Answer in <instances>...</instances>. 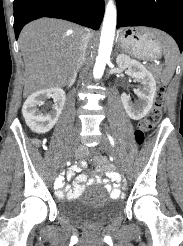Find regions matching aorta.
<instances>
[{
  "label": "aorta",
  "instance_id": "obj_1",
  "mask_svg": "<svg viewBox=\"0 0 183 246\" xmlns=\"http://www.w3.org/2000/svg\"><path fill=\"white\" fill-rule=\"evenodd\" d=\"M116 18V7L113 0H109L103 19L98 56L96 57V62L93 69V76L95 79H100L102 77L105 66L110 60L115 36Z\"/></svg>",
  "mask_w": 183,
  "mask_h": 246
}]
</instances>
